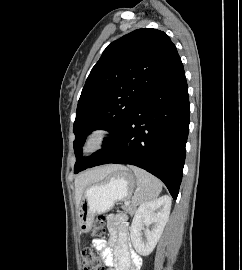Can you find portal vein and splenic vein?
I'll return each mask as SVG.
<instances>
[{
    "mask_svg": "<svg viewBox=\"0 0 242 270\" xmlns=\"http://www.w3.org/2000/svg\"><path fill=\"white\" fill-rule=\"evenodd\" d=\"M125 204H129V201H125Z\"/></svg>",
    "mask_w": 242,
    "mask_h": 270,
    "instance_id": "portal-vein-and-splenic-vein-1",
    "label": "portal vein and splenic vein"
}]
</instances>
